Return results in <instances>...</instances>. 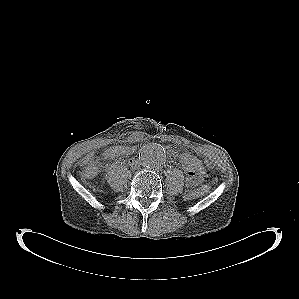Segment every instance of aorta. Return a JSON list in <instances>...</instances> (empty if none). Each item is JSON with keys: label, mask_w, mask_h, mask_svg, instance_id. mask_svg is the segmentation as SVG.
Instances as JSON below:
<instances>
[{"label": "aorta", "mask_w": 299, "mask_h": 299, "mask_svg": "<svg viewBox=\"0 0 299 299\" xmlns=\"http://www.w3.org/2000/svg\"><path fill=\"white\" fill-rule=\"evenodd\" d=\"M166 154L162 146L158 144H146L139 152L141 164L148 169H157L165 162Z\"/></svg>", "instance_id": "1"}]
</instances>
